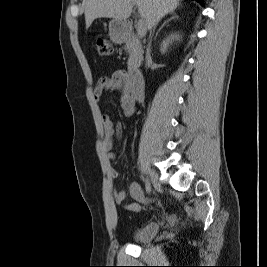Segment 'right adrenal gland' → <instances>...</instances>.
<instances>
[{
  "label": "right adrenal gland",
  "instance_id": "2a0ac1e0",
  "mask_svg": "<svg viewBox=\"0 0 267 267\" xmlns=\"http://www.w3.org/2000/svg\"><path fill=\"white\" fill-rule=\"evenodd\" d=\"M170 14H171L172 16H171L167 21H165V22L161 25V27L158 29V31L156 32L155 39H156L158 33L160 32V30H161V29H162L168 22H170V21L173 20V19H178V15H177L174 11L171 12Z\"/></svg>",
  "mask_w": 267,
  "mask_h": 267
}]
</instances>
